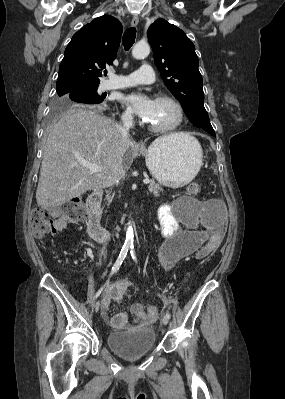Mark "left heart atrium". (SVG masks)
<instances>
[{"label":"left heart atrium","mask_w":285,"mask_h":399,"mask_svg":"<svg viewBox=\"0 0 285 399\" xmlns=\"http://www.w3.org/2000/svg\"><path fill=\"white\" fill-rule=\"evenodd\" d=\"M123 99L142 119L149 121L153 114L156 100L140 92L126 95Z\"/></svg>","instance_id":"1"}]
</instances>
